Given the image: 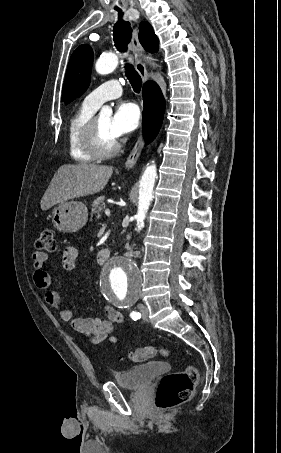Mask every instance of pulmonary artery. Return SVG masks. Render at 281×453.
<instances>
[{"label":"pulmonary artery","instance_id":"pulmonary-artery-1","mask_svg":"<svg viewBox=\"0 0 281 453\" xmlns=\"http://www.w3.org/2000/svg\"><path fill=\"white\" fill-rule=\"evenodd\" d=\"M111 89L103 92V90ZM122 94V86L117 79H111L100 84L92 93L87 96V100L94 106L100 107L104 102L117 98Z\"/></svg>","mask_w":281,"mask_h":453}]
</instances>
